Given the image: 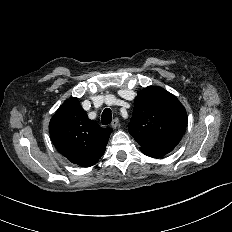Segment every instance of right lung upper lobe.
Segmentation results:
<instances>
[{"instance_id":"1","label":"right lung upper lobe","mask_w":232,"mask_h":232,"mask_svg":"<svg viewBox=\"0 0 232 232\" xmlns=\"http://www.w3.org/2000/svg\"><path fill=\"white\" fill-rule=\"evenodd\" d=\"M49 132L56 149L70 162L90 167L104 154L112 129L90 120L78 99L72 98L53 115Z\"/></svg>"}]
</instances>
